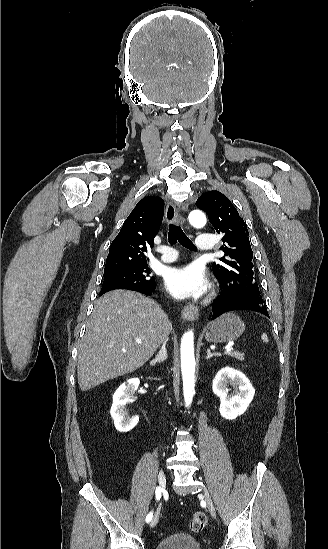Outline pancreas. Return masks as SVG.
<instances>
[{
	"mask_svg": "<svg viewBox=\"0 0 328 549\" xmlns=\"http://www.w3.org/2000/svg\"><path fill=\"white\" fill-rule=\"evenodd\" d=\"M226 355H229V357H233V359H238V361H244V353H239V351H233V353H226Z\"/></svg>",
	"mask_w": 328,
	"mask_h": 549,
	"instance_id": "1",
	"label": "pancreas"
}]
</instances>
